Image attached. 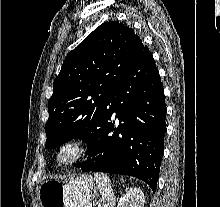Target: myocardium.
Masks as SVG:
<instances>
[{"instance_id":"f54148a6","label":"myocardium","mask_w":220,"mask_h":207,"mask_svg":"<svg viewBox=\"0 0 220 207\" xmlns=\"http://www.w3.org/2000/svg\"><path fill=\"white\" fill-rule=\"evenodd\" d=\"M68 153V156H64ZM87 153V143L84 139L71 136L64 139L55 151V162L59 166H70L79 162Z\"/></svg>"}]
</instances>
